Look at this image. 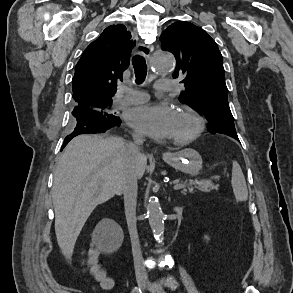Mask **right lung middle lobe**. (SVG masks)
I'll return each mask as SVG.
<instances>
[{
	"mask_svg": "<svg viewBox=\"0 0 293 293\" xmlns=\"http://www.w3.org/2000/svg\"><path fill=\"white\" fill-rule=\"evenodd\" d=\"M95 104L97 105L98 108L93 109V110L100 111V112L104 113L105 115H115L116 114L111 109L112 100H98V101H95Z\"/></svg>",
	"mask_w": 293,
	"mask_h": 293,
	"instance_id": "obj_1",
	"label": "right lung middle lobe"
}]
</instances>
